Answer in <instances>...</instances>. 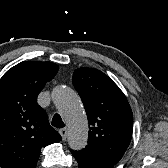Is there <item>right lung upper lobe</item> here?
Here are the masks:
<instances>
[{"instance_id":"obj_1","label":"right lung upper lobe","mask_w":168,"mask_h":168,"mask_svg":"<svg viewBox=\"0 0 168 168\" xmlns=\"http://www.w3.org/2000/svg\"><path fill=\"white\" fill-rule=\"evenodd\" d=\"M59 67L24 61L0 79V168H36L43 146L61 141L37 96Z\"/></svg>"}]
</instances>
